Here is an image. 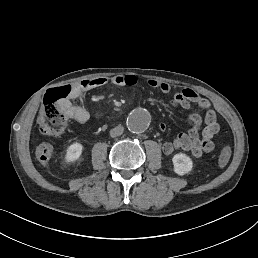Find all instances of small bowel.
<instances>
[{
  "mask_svg": "<svg viewBox=\"0 0 258 258\" xmlns=\"http://www.w3.org/2000/svg\"><path fill=\"white\" fill-rule=\"evenodd\" d=\"M108 83H112L116 86H136L139 83V79L137 76L129 74L116 75L110 79L106 77H96L74 84L71 97L62 106L66 116L80 123H86L90 117L89 113L81 105L74 104L72 100L81 99L88 91L104 87ZM146 84L164 93L170 91V86L165 82L149 79L146 81ZM174 100L184 109H189L194 104L205 110V126L201 129L203 122L202 117L198 113H191L187 118V133H180L172 142L163 143V152L166 155H171L175 151L183 150L190 152L194 157H200L204 153L213 151L215 148L213 138L219 132V124L214 111L210 109L209 101L189 88L175 93ZM160 127L164 129L165 125L162 123ZM52 155L53 146L48 142H42L36 148V157L44 166L49 164Z\"/></svg>",
  "mask_w": 258,
  "mask_h": 258,
  "instance_id": "c3829d8e",
  "label": "small bowel"
}]
</instances>
